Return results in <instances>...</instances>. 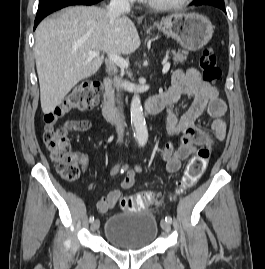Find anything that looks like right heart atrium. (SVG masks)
Returning a JSON list of instances; mask_svg holds the SVG:
<instances>
[{
  "label": "right heart atrium",
  "instance_id": "1",
  "mask_svg": "<svg viewBox=\"0 0 265 269\" xmlns=\"http://www.w3.org/2000/svg\"><path fill=\"white\" fill-rule=\"evenodd\" d=\"M122 1L130 2V1H133V0H122Z\"/></svg>",
  "mask_w": 265,
  "mask_h": 269
}]
</instances>
